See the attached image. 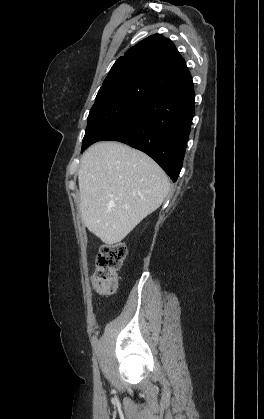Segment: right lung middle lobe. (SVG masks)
<instances>
[{"label":"right lung middle lobe","mask_w":264,"mask_h":419,"mask_svg":"<svg viewBox=\"0 0 264 419\" xmlns=\"http://www.w3.org/2000/svg\"><path fill=\"white\" fill-rule=\"evenodd\" d=\"M153 96L127 84L101 88L88 116L81 152L123 124L143 101Z\"/></svg>","instance_id":"obj_1"}]
</instances>
